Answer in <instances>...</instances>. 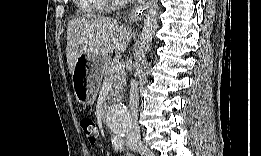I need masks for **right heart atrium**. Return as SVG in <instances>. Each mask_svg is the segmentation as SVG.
Wrapping results in <instances>:
<instances>
[{"label":"right heart atrium","instance_id":"1","mask_svg":"<svg viewBox=\"0 0 261 156\" xmlns=\"http://www.w3.org/2000/svg\"><path fill=\"white\" fill-rule=\"evenodd\" d=\"M113 5L112 2H108V1H102V4L100 6L101 9H108L109 7H111Z\"/></svg>","mask_w":261,"mask_h":156}]
</instances>
